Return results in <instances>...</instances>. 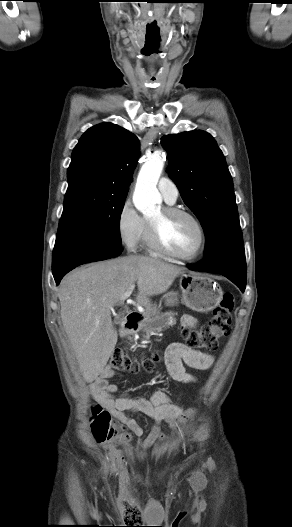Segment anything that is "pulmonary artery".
Returning <instances> with one entry per match:
<instances>
[{
    "label": "pulmonary artery",
    "mask_w": 292,
    "mask_h": 527,
    "mask_svg": "<svg viewBox=\"0 0 292 527\" xmlns=\"http://www.w3.org/2000/svg\"><path fill=\"white\" fill-rule=\"evenodd\" d=\"M158 189L166 202L171 204L176 202L179 191L172 180L166 177L160 178L158 181Z\"/></svg>",
    "instance_id": "1"
}]
</instances>
